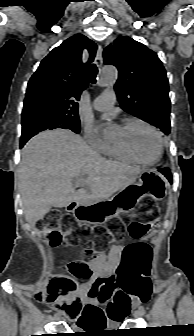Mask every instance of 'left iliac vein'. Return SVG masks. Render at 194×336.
Masks as SVG:
<instances>
[{
  "label": "left iliac vein",
  "mask_w": 194,
  "mask_h": 336,
  "mask_svg": "<svg viewBox=\"0 0 194 336\" xmlns=\"http://www.w3.org/2000/svg\"><path fill=\"white\" fill-rule=\"evenodd\" d=\"M134 314H135L136 317H140V316L143 315V313L141 312L140 309L136 310Z\"/></svg>",
  "instance_id": "4c4485c4"
}]
</instances>
